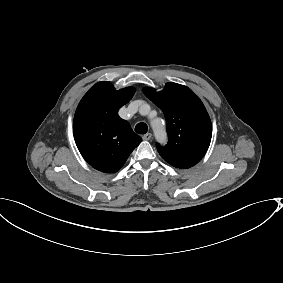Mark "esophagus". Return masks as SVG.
I'll use <instances>...</instances> for the list:
<instances>
[{"label":"esophagus","instance_id":"esophagus-1","mask_svg":"<svg viewBox=\"0 0 283 283\" xmlns=\"http://www.w3.org/2000/svg\"><path fill=\"white\" fill-rule=\"evenodd\" d=\"M151 137H152L151 133H146L145 135H143L142 139L145 141H148L151 139Z\"/></svg>","mask_w":283,"mask_h":283}]
</instances>
